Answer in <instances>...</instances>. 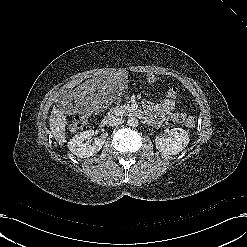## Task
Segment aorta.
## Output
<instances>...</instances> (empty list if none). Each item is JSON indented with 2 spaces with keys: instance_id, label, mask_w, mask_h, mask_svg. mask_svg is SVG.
<instances>
[{
  "instance_id": "obj_1",
  "label": "aorta",
  "mask_w": 247,
  "mask_h": 247,
  "mask_svg": "<svg viewBox=\"0 0 247 247\" xmlns=\"http://www.w3.org/2000/svg\"><path fill=\"white\" fill-rule=\"evenodd\" d=\"M127 124L128 126L130 127H137L138 124H139V121L136 117H129L128 120H127Z\"/></svg>"
}]
</instances>
